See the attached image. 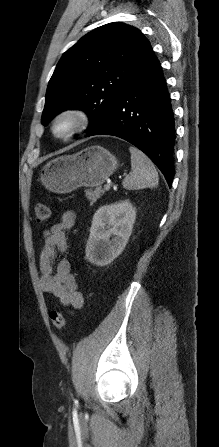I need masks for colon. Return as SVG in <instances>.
<instances>
[{"mask_svg": "<svg viewBox=\"0 0 219 447\" xmlns=\"http://www.w3.org/2000/svg\"><path fill=\"white\" fill-rule=\"evenodd\" d=\"M50 216V209L46 203L39 202L35 206V219L39 224L46 223ZM53 326L57 329H63L65 326L64 313L59 309H53L49 313Z\"/></svg>", "mask_w": 219, "mask_h": 447, "instance_id": "5ec220e1", "label": "colon"}]
</instances>
